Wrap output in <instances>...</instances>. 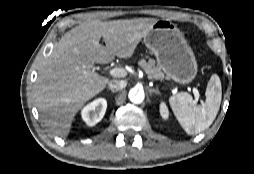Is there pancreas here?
<instances>
[{
	"mask_svg": "<svg viewBox=\"0 0 254 174\" xmlns=\"http://www.w3.org/2000/svg\"><path fill=\"white\" fill-rule=\"evenodd\" d=\"M138 65L146 72L149 79L163 80L167 78L161 69L155 66V60L153 59H149L148 61L141 59Z\"/></svg>",
	"mask_w": 254,
	"mask_h": 174,
	"instance_id": "obj_1",
	"label": "pancreas"
}]
</instances>
